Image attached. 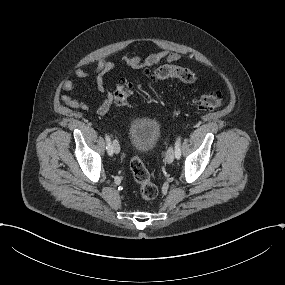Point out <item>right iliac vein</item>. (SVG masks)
I'll list each match as a JSON object with an SVG mask.
<instances>
[{"mask_svg":"<svg viewBox=\"0 0 285 285\" xmlns=\"http://www.w3.org/2000/svg\"><path fill=\"white\" fill-rule=\"evenodd\" d=\"M112 151L116 154H118L120 152V146L116 140H114L112 143Z\"/></svg>","mask_w":285,"mask_h":285,"instance_id":"obj_1","label":"right iliac vein"}]
</instances>
